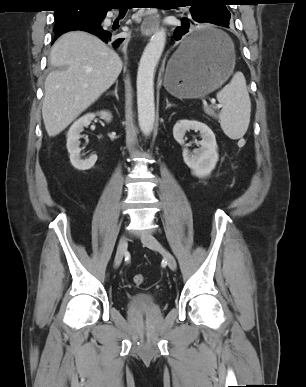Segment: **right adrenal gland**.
Wrapping results in <instances>:
<instances>
[{
  "label": "right adrenal gland",
  "instance_id": "obj_1",
  "mask_svg": "<svg viewBox=\"0 0 306 387\" xmlns=\"http://www.w3.org/2000/svg\"><path fill=\"white\" fill-rule=\"evenodd\" d=\"M108 94L114 95L116 97V99L119 100V96H118V81H116L114 91L109 92Z\"/></svg>",
  "mask_w": 306,
  "mask_h": 387
}]
</instances>
